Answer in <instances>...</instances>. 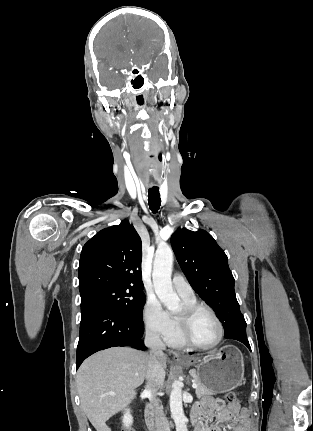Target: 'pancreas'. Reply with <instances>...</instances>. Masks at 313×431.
<instances>
[{"label": "pancreas", "instance_id": "obj_1", "mask_svg": "<svg viewBox=\"0 0 313 431\" xmlns=\"http://www.w3.org/2000/svg\"><path fill=\"white\" fill-rule=\"evenodd\" d=\"M191 373H192V377H193V382H195V383L198 385V387H197V388H196V390H195L196 396H197L198 398H201V397H202V396H204V395H211V394H214L213 392L209 391L206 387H204V386L200 383L199 378H198V376L196 375V373H195V372H191Z\"/></svg>", "mask_w": 313, "mask_h": 431}]
</instances>
